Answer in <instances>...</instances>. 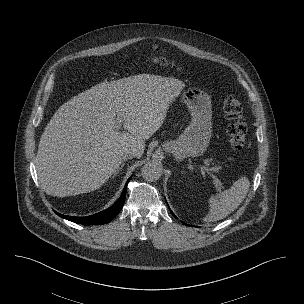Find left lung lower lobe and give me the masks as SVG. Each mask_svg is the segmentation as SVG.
Instances as JSON below:
<instances>
[{
    "instance_id": "obj_1",
    "label": "left lung lower lobe",
    "mask_w": 304,
    "mask_h": 304,
    "mask_svg": "<svg viewBox=\"0 0 304 304\" xmlns=\"http://www.w3.org/2000/svg\"><path fill=\"white\" fill-rule=\"evenodd\" d=\"M170 212L173 214V212H172L171 210H170ZM173 216L176 217L174 214H173ZM183 224H184V225H187V224H185V223H183Z\"/></svg>"
}]
</instances>
